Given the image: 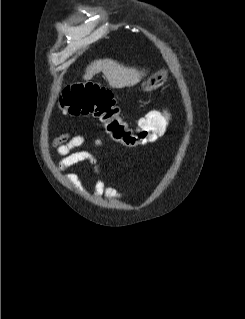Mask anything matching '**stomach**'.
I'll return each mask as SVG.
<instances>
[{"label": "stomach", "mask_w": 245, "mask_h": 319, "mask_svg": "<svg viewBox=\"0 0 245 319\" xmlns=\"http://www.w3.org/2000/svg\"><path fill=\"white\" fill-rule=\"evenodd\" d=\"M167 77V71L165 69H160L141 83V89L146 92H151L162 86L166 82Z\"/></svg>", "instance_id": "1"}]
</instances>
